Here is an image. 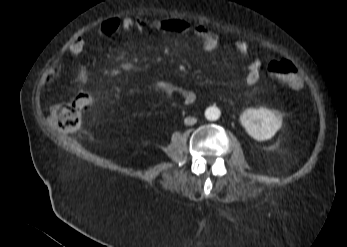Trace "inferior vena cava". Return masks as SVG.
Returning a JSON list of instances; mask_svg holds the SVG:
<instances>
[{"instance_id":"1","label":"inferior vena cava","mask_w":347,"mask_h":247,"mask_svg":"<svg viewBox=\"0 0 347 247\" xmlns=\"http://www.w3.org/2000/svg\"><path fill=\"white\" fill-rule=\"evenodd\" d=\"M196 122H197V119L194 118V117H186V118L184 119V123H185L186 125H194Z\"/></svg>"}]
</instances>
